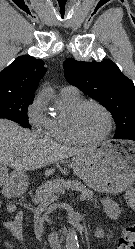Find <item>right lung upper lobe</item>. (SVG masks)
Instances as JSON below:
<instances>
[{"label": "right lung upper lobe", "instance_id": "1", "mask_svg": "<svg viewBox=\"0 0 135 249\" xmlns=\"http://www.w3.org/2000/svg\"><path fill=\"white\" fill-rule=\"evenodd\" d=\"M45 72L43 60L19 56L0 72V94L33 96Z\"/></svg>", "mask_w": 135, "mask_h": 249}]
</instances>
